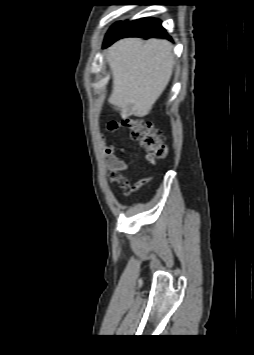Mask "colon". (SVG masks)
I'll return each instance as SVG.
<instances>
[{"mask_svg":"<svg viewBox=\"0 0 254 355\" xmlns=\"http://www.w3.org/2000/svg\"><path fill=\"white\" fill-rule=\"evenodd\" d=\"M114 123H109L112 126ZM123 127L130 130L133 140L139 142L147 153L148 158L163 159L168 155V148L162 140L161 132L151 123H143L136 119L121 121Z\"/></svg>","mask_w":254,"mask_h":355,"instance_id":"5ec220e1","label":"colon"}]
</instances>
